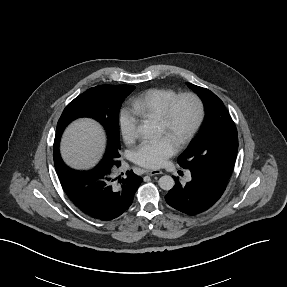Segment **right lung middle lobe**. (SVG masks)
Returning <instances> with one entry per match:
<instances>
[{
  "instance_id": "obj_1",
  "label": "right lung middle lobe",
  "mask_w": 287,
  "mask_h": 287,
  "mask_svg": "<svg viewBox=\"0 0 287 287\" xmlns=\"http://www.w3.org/2000/svg\"><path fill=\"white\" fill-rule=\"evenodd\" d=\"M134 89L132 85H99L88 89L67 105L57 129L63 131L71 121L81 117L97 120L104 127L108 138L106 153L100 164L112 167L120 157L119 110L124 99Z\"/></svg>"
}]
</instances>
